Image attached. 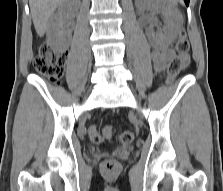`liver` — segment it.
Wrapping results in <instances>:
<instances>
[{"label":"liver","mask_w":223,"mask_h":191,"mask_svg":"<svg viewBox=\"0 0 223 191\" xmlns=\"http://www.w3.org/2000/svg\"><path fill=\"white\" fill-rule=\"evenodd\" d=\"M66 1L67 0H29L33 24L40 37L44 35L49 18L53 12Z\"/></svg>","instance_id":"1"}]
</instances>
